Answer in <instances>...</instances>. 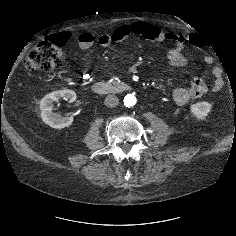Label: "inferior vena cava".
Instances as JSON below:
<instances>
[{"instance_id":"602c4592","label":"inferior vena cava","mask_w":236,"mask_h":236,"mask_svg":"<svg viewBox=\"0 0 236 236\" xmlns=\"http://www.w3.org/2000/svg\"><path fill=\"white\" fill-rule=\"evenodd\" d=\"M104 104L105 106L112 108L119 104V99L115 95H108L104 100Z\"/></svg>"}]
</instances>
